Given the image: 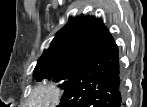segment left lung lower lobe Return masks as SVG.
Here are the masks:
<instances>
[{"label":"left lung lower lobe","mask_w":147,"mask_h":107,"mask_svg":"<svg viewBox=\"0 0 147 107\" xmlns=\"http://www.w3.org/2000/svg\"><path fill=\"white\" fill-rule=\"evenodd\" d=\"M119 52L109 34L66 86L58 107H122Z\"/></svg>","instance_id":"obj_1"}]
</instances>
